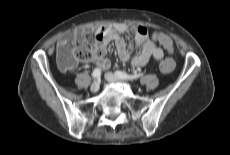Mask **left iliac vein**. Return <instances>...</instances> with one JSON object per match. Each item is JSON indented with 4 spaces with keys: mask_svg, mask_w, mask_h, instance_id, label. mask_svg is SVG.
I'll list each match as a JSON object with an SVG mask.
<instances>
[{
    "mask_svg": "<svg viewBox=\"0 0 230 155\" xmlns=\"http://www.w3.org/2000/svg\"><path fill=\"white\" fill-rule=\"evenodd\" d=\"M105 79L109 82H112V83H117V82L118 83H124V81L121 78L117 77L116 75H114L113 73H110V72L105 74Z\"/></svg>",
    "mask_w": 230,
    "mask_h": 155,
    "instance_id": "obj_1",
    "label": "left iliac vein"
}]
</instances>
